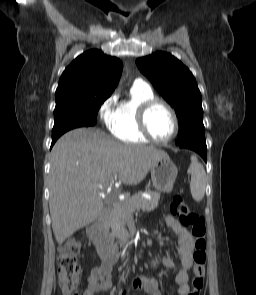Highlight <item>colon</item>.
Segmentation results:
<instances>
[{"label":"colon","instance_id":"5ec220e1","mask_svg":"<svg viewBox=\"0 0 256 295\" xmlns=\"http://www.w3.org/2000/svg\"><path fill=\"white\" fill-rule=\"evenodd\" d=\"M172 214L179 217L181 223L191 227L194 240L192 260L193 277L189 295H201L206 273V224L202 216L194 213L185 203L181 195L176 194L170 204ZM81 250V244L76 239H70L61 248L58 257L59 284L63 295H79L78 286L81 277V269L77 262V256Z\"/></svg>","mask_w":256,"mask_h":295}]
</instances>
